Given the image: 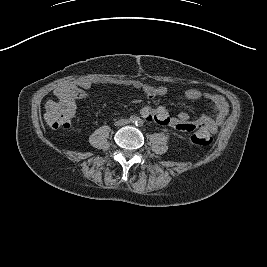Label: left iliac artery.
Wrapping results in <instances>:
<instances>
[{
  "label": "left iliac artery",
  "instance_id": "obj_1",
  "mask_svg": "<svg viewBox=\"0 0 267 267\" xmlns=\"http://www.w3.org/2000/svg\"><path fill=\"white\" fill-rule=\"evenodd\" d=\"M143 124H144V121L142 119H139L138 122L136 123V126L141 127L143 126Z\"/></svg>",
  "mask_w": 267,
  "mask_h": 267
}]
</instances>
